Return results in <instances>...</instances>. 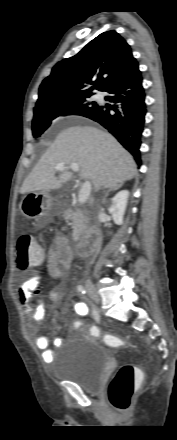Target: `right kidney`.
I'll list each match as a JSON object with an SVG mask.
<instances>
[{"label": "right kidney", "instance_id": "ca27d5eb", "mask_svg": "<svg viewBox=\"0 0 177 440\" xmlns=\"http://www.w3.org/2000/svg\"><path fill=\"white\" fill-rule=\"evenodd\" d=\"M129 192L122 190L118 192L111 200L109 211L112 219L117 225L123 224V217L127 206Z\"/></svg>", "mask_w": 177, "mask_h": 440}]
</instances>
